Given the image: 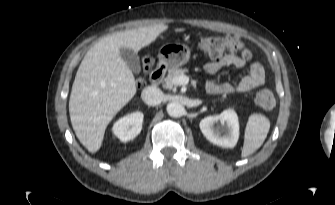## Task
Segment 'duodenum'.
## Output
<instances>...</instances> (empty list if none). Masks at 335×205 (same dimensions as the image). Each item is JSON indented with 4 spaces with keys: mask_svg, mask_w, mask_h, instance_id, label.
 <instances>
[{
    "mask_svg": "<svg viewBox=\"0 0 335 205\" xmlns=\"http://www.w3.org/2000/svg\"><path fill=\"white\" fill-rule=\"evenodd\" d=\"M165 73H166V65L163 62L158 63L155 69L150 74L151 82L155 85L159 84L162 81ZM206 91L210 93L209 90L206 89Z\"/></svg>",
    "mask_w": 335,
    "mask_h": 205,
    "instance_id": "duodenum-1",
    "label": "duodenum"
}]
</instances>
